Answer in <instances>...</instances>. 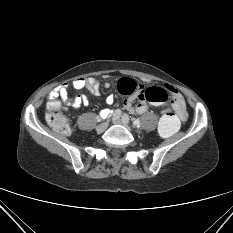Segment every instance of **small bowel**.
Masks as SVG:
<instances>
[{
  "mask_svg": "<svg viewBox=\"0 0 233 233\" xmlns=\"http://www.w3.org/2000/svg\"><path fill=\"white\" fill-rule=\"evenodd\" d=\"M73 88L79 90L83 88H87L92 96L99 95V84L94 78H77L72 82ZM109 85L106 84V87ZM165 89L171 94L170 105L176 112V114L180 117L181 121H185L187 118L185 101L182 95L171 85H166ZM57 97H60L63 102L72 108H79L80 106L89 105V99L85 95H79L74 98L69 95V84L64 83L56 88H54L50 94L49 99L55 100ZM107 105H112L114 103V96L109 95L105 100ZM124 107L126 110L132 113H143L147 110V104L145 101H140L137 104H133V97L124 100ZM99 115L102 118H106L111 115V111L106 108H101L99 110Z\"/></svg>",
  "mask_w": 233,
  "mask_h": 233,
  "instance_id": "small-bowel-1",
  "label": "small bowel"
}]
</instances>
